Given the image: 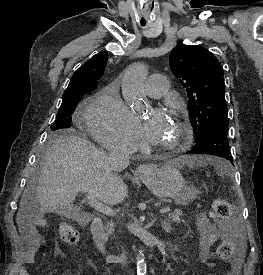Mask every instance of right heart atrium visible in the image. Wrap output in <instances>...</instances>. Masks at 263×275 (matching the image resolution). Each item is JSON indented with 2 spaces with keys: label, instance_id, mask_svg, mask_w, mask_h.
<instances>
[{
  "label": "right heart atrium",
  "instance_id": "right-heart-atrium-1",
  "mask_svg": "<svg viewBox=\"0 0 263 275\" xmlns=\"http://www.w3.org/2000/svg\"><path fill=\"white\" fill-rule=\"evenodd\" d=\"M84 120L93 137L108 149L133 152L141 145L136 118L113 88H106L94 96Z\"/></svg>",
  "mask_w": 263,
  "mask_h": 275
}]
</instances>
